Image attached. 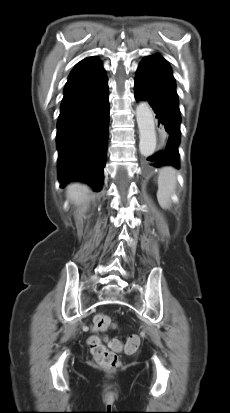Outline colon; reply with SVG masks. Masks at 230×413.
I'll return each mask as SVG.
<instances>
[{"mask_svg":"<svg viewBox=\"0 0 230 413\" xmlns=\"http://www.w3.org/2000/svg\"><path fill=\"white\" fill-rule=\"evenodd\" d=\"M112 325V319L105 314H98L94 317V329L96 331H105ZM140 345V337L138 334L131 335L126 343L125 351L134 353ZM90 350L96 359L97 363L109 369H114L120 366V357L108 347H106L99 338L92 337L89 340ZM118 349L119 345L115 344Z\"/></svg>","mask_w":230,"mask_h":413,"instance_id":"1","label":"colon"}]
</instances>
